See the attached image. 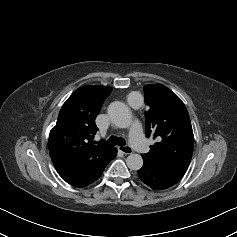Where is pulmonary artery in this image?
<instances>
[{
	"mask_svg": "<svg viewBox=\"0 0 237 237\" xmlns=\"http://www.w3.org/2000/svg\"><path fill=\"white\" fill-rule=\"evenodd\" d=\"M130 144L140 153H146L148 151V146L142 132V126L140 122L135 121L131 127L129 133Z\"/></svg>",
	"mask_w": 237,
	"mask_h": 237,
	"instance_id": "pulmonary-artery-1",
	"label": "pulmonary artery"
}]
</instances>
